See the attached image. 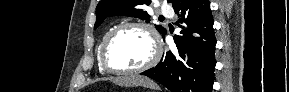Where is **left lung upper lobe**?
<instances>
[{
    "label": "left lung upper lobe",
    "instance_id": "1",
    "mask_svg": "<svg viewBox=\"0 0 289 92\" xmlns=\"http://www.w3.org/2000/svg\"><path fill=\"white\" fill-rule=\"evenodd\" d=\"M172 3L175 0H167ZM151 3L150 0H101L96 8V23L94 29L100 26L106 17L110 16H131L146 20L148 23L150 15L145 11L144 7ZM155 28L161 33L166 34V29L160 25Z\"/></svg>",
    "mask_w": 289,
    "mask_h": 92
}]
</instances>
